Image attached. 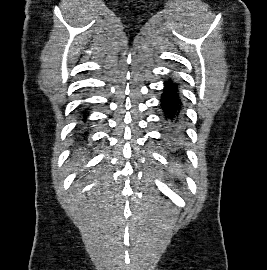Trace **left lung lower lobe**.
Returning a JSON list of instances; mask_svg holds the SVG:
<instances>
[{"mask_svg":"<svg viewBox=\"0 0 267 270\" xmlns=\"http://www.w3.org/2000/svg\"><path fill=\"white\" fill-rule=\"evenodd\" d=\"M160 105L169 140L175 142L183 134V120L185 115L179 86L171 78L164 82Z\"/></svg>","mask_w":267,"mask_h":270,"instance_id":"1","label":"left lung lower lobe"}]
</instances>
